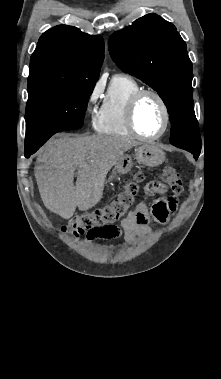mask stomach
I'll return each instance as SVG.
<instances>
[{"label":"stomach","mask_w":221,"mask_h":379,"mask_svg":"<svg viewBox=\"0 0 221 379\" xmlns=\"http://www.w3.org/2000/svg\"><path fill=\"white\" fill-rule=\"evenodd\" d=\"M133 158L140 164L148 167L161 165L165 160V153L155 144H142L135 148ZM133 159L130 155L124 154L114 165L113 173L109 178L112 181L116 175L127 174L133 167Z\"/></svg>","instance_id":"1"}]
</instances>
